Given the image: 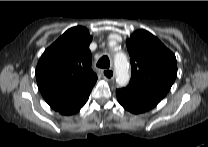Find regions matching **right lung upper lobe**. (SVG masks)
Masks as SVG:
<instances>
[{
    "label": "right lung upper lobe",
    "instance_id": "cb5924a9",
    "mask_svg": "<svg viewBox=\"0 0 208 147\" xmlns=\"http://www.w3.org/2000/svg\"><path fill=\"white\" fill-rule=\"evenodd\" d=\"M89 31L67 30L42 54L36 68L39 90L55 111L74 107L89 97L97 75L91 69Z\"/></svg>",
    "mask_w": 208,
    "mask_h": 147
}]
</instances>
